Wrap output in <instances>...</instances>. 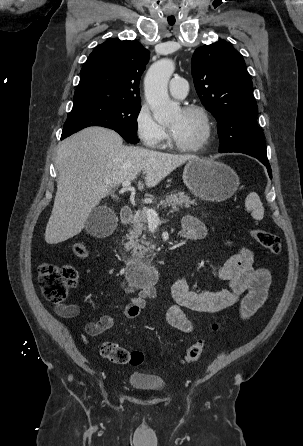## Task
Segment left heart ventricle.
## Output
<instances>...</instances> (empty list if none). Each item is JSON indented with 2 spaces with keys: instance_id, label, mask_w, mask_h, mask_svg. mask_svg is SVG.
<instances>
[{
  "instance_id": "left-heart-ventricle-1",
  "label": "left heart ventricle",
  "mask_w": 303,
  "mask_h": 446,
  "mask_svg": "<svg viewBox=\"0 0 303 446\" xmlns=\"http://www.w3.org/2000/svg\"><path fill=\"white\" fill-rule=\"evenodd\" d=\"M172 136L180 144L192 145L199 141L204 132L202 118L196 113L178 110L168 121Z\"/></svg>"
}]
</instances>
